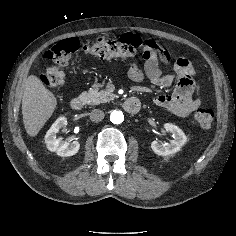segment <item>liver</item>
Here are the masks:
<instances>
[{"instance_id": "obj_1", "label": "liver", "mask_w": 236, "mask_h": 236, "mask_svg": "<svg viewBox=\"0 0 236 236\" xmlns=\"http://www.w3.org/2000/svg\"><path fill=\"white\" fill-rule=\"evenodd\" d=\"M57 106L55 95L35 76L30 75L25 82L22 98L23 123L27 134L36 136Z\"/></svg>"}]
</instances>
